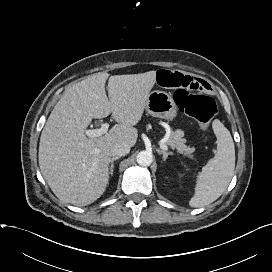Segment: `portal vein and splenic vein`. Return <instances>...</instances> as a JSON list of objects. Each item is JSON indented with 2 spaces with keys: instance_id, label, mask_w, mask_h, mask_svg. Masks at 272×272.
Listing matches in <instances>:
<instances>
[{
  "instance_id": "1",
  "label": "portal vein and splenic vein",
  "mask_w": 272,
  "mask_h": 272,
  "mask_svg": "<svg viewBox=\"0 0 272 272\" xmlns=\"http://www.w3.org/2000/svg\"><path fill=\"white\" fill-rule=\"evenodd\" d=\"M108 128H109V124L108 123H103L100 128L86 130L85 134L89 138L100 137V136L107 133ZM160 148L163 149V150H167L168 146L164 142H161L160 143Z\"/></svg>"
}]
</instances>
